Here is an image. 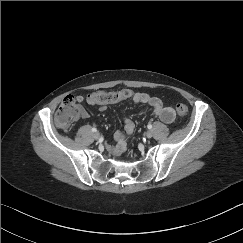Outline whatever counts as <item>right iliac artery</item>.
I'll use <instances>...</instances> for the list:
<instances>
[{
  "label": "right iliac artery",
  "mask_w": 243,
  "mask_h": 243,
  "mask_svg": "<svg viewBox=\"0 0 243 243\" xmlns=\"http://www.w3.org/2000/svg\"><path fill=\"white\" fill-rule=\"evenodd\" d=\"M92 132H97V129L95 127H93Z\"/></svg>",
  "instance_id": "obj_1"
}]
</instances>
